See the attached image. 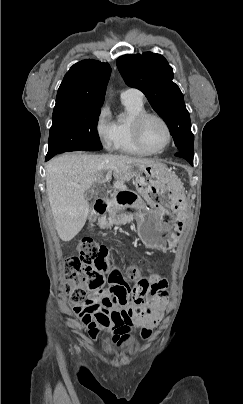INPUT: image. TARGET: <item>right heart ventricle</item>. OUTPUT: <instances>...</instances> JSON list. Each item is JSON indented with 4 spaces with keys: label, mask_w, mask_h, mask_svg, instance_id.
Here are the masks:
<instances>
[{
    "label": "right heart ventricle",
    "mask_w": 243,
    "mask_h": 404,
    "mask_svg": "<svg viewBox=\"0 0 243 404\" xmlns=\"http://www.w3.org/2000/svg\"><path fill=\"white\" fill-rule=\"evenodd\" d=\"M140 95L141 91L135 88H131L125 94L121 92V103L126 116L114 122L117 135V151L128 156L144 157L151 155L136 143L131 132L132 120L145 111L144 101L139 97Z\"/></svg>",
    "instance_id": "right-heart-ventricle-1"
}]
</instances>
